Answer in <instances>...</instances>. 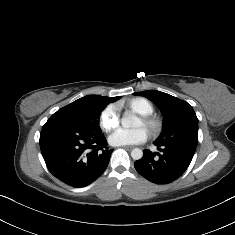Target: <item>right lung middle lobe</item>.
Masks as SVG:
<instances>
[{"label": "right lung middle lobe", "instance_id": "right-lung-middle-lobe-1", "mask_svg": "<svg viewBox=\"0 0 235 235\" xmlns=\"http://www.w3.org/2000/svg\"><path fill=\"white\" fill-rule=\"evenodd\" d=\"M120 98V96H119ZM102 110L91 109L81 98L59 109L50 119H60L90 131L101 132L99 117Z\"/></svg>", "mask_w": 235, "mask_h": 235}]
</instances>
